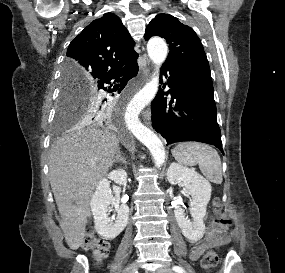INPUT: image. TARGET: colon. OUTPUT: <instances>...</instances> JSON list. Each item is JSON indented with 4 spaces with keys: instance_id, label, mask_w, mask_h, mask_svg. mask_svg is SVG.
Here are the masks:
<instances>
[{
    "instance_id": "1",
    "label": "colon",
    "mask_w": 285,
    "mask_h": 273,
    "mask_svg": "<svg viewBox=\"0 0 285 273\" xmlns=\"http://www.w3.org/2000/svg\"><path fill=\"white\" fill-rule=\"evenodd\" d=\"M213 204L219 225L222 228L227 229L230 226V220L222 213L219 200L215 199ZM82 247L85 250H90L98 261L104 259L109 252V242L103 238L95 236L92 232H87L84 235ZM217 261V254L214 251H207L203 255L200 264L204 270L210 271L216 265Z\"/></svg>"
}]
</instances>
